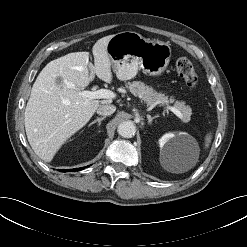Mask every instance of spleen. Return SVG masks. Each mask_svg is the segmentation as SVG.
I'll list each match as a JSON object with an SVG mask.
<instances>
[{
  "label": "spleen",
  "mask_w": 247,
  "mask_h": 247,
  "mask_svg": "<svg viewBox=\"0 0 247 247\" xmlns=\"http://www.w3.org/2000/svg\"><path fill=\"white\" fill-rule=\"evenodd\" d=\"M212 139V135L211 133L207 134L206 138H205V146L208 147L209 143L211 142ZM184 171L183 169H179V172Z\"/></svg>",
  "instance_id": "1"
}]
</instances>
